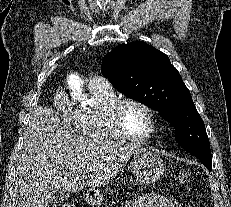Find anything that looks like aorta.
<instances>
[{
	"label": "aorta",
	"mask_w": 231,
	"mask_h": 207,
	"mask_svg": "<svg viewBox=\"0 0 231 207\" xmlns=\"http://www.w3.org/2000/svg\"><path fill=\"white\" fill-rule=\"evenodd\" d=\"M68 84L70 90L72 91V97L76 100L82 101L83 105H86L89 101L86 99V96L83 93L82 81L79 76L71 75L69 77Z\"/></svg>",
	"instance_id": "1"
}]
</instances>
